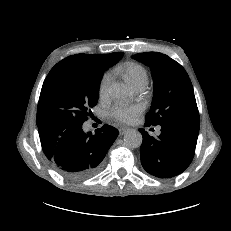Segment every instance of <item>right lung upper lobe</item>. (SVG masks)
Instances as JSON below:
<instances>
[{
  "mask_svg": "<svg viewBox=\"0 0 231 231\" xmlns=\"http://www.w3.org/2000/svg\"><path fill=\"white\" fill-rule=\"evenodd\" d=\"M114 53L108 55L100 54H76L65 58V60H74V61H102L110 58Z\"/></svg>",
  "mask_w": 231,
  "mask_h": 231,
  "instance_id": "cb5924a9",
  "label": "right lung upper lobe"
}]
</instances>
